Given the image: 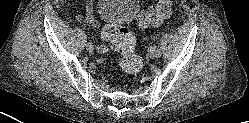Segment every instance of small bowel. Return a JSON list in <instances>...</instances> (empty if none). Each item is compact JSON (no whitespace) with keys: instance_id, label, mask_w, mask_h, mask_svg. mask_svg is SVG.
Instances as JSON below:
<instances>
[{"instance_id":"small-bowel-1","label":"small bowel","mask_w":249,"mask_h":123,"mask_svg":"<svg viewBox=\"0 0 249 123\" xmlns=\"http://www.w3.org/2000/svg\"><path fill=\"white\" fill-rule=\"evenodd\" d=\"M67 10L70 14V2L68 1ZM95 7H94V0H85V13L83 15L76 14L73 17L80 22L87 23L89 25L97 24V19L95 17ZM105 38V36L103 35ZM106 39V38H105Z\"/></svg>"}]
</instances>
